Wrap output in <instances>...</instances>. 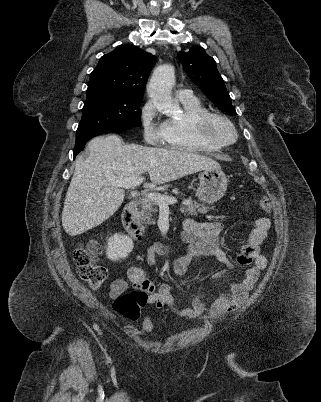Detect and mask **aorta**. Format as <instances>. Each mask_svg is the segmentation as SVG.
Returning a JSON list of instances; mask_svg holds the SVG:
<instances>
[{"label": "aorta", "instance_id": "1", "mask_svg": "<svg viewBox=\"0 0 321 402\" xmlns=\"http://www.w3.org/2000/svg\"><path fill=\"white\" fill-rule=\"evenodd\" d=\"M174 80V67L170 64L160 65L154 70L147 88L154 106L168 116L174 115L180 110L179 105L172 100L171 91Z\"/></svg>", "mask_w": 321, "mask_h": 402}]
</instances>
